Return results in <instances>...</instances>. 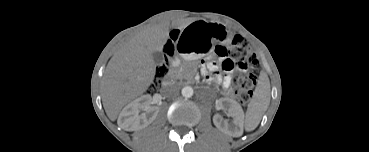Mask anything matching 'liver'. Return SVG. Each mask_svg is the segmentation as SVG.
<instances>
[{
    "label": "liver",
    "instance_id": "6515ba94",
    "mask_svg": "<svg viewBox=\"0 0 369 152\" xmlns=\"http://www.w3.org/2000/svg\"><path fill=\"white\" fill-rule=\"evenodd\" d=\"M168 37L167 28L163 26L146 30L136 37L126 52L110 61L104 81V106L112 120L125 100L140 95L152 83L156 71L153 53L163 50Z\"/></svg>",
    "mask_w": 369,
    "mask_h": 152
}]
</instances>
